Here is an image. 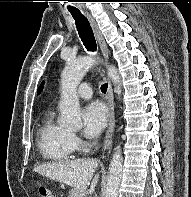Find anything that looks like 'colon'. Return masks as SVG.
<instances>
[{"instance_id":"obj_1","label":"colon","mask_w":191,"mask_h":197,"mask_svg":"<svg viewBox=\"0 0 191 197\" xmlns=\"http://www.w3.org/2000/svg\"><path fill=\"white\" fill-rule=\"evenodd\" d=\"M38 194L40 197H53L52 192L45 185L38 186Z\"/></svg>"}]
</instances>
